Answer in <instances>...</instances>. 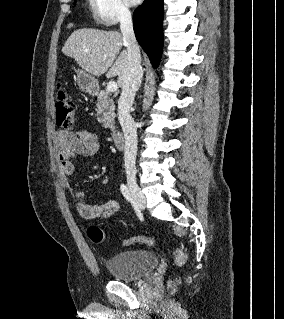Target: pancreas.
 <instances>
[{
  "label": "pancreas",
  "mask_w": 284,
  "mask_h": 319,
  "mask_svg": "<svg viewBox=\"0 0 284 319\" xmlns=\"http://www.w3.org/2000/svg\"><path fill=\"white\" fill-rule=\"evenodd\" d=\"M96 107L98 122L104 127L113 126L115 118V105L107 90L101 91L99 93Z\"/></svg>",
  "instance_id": "cf45deb5"
}]
</instances>
